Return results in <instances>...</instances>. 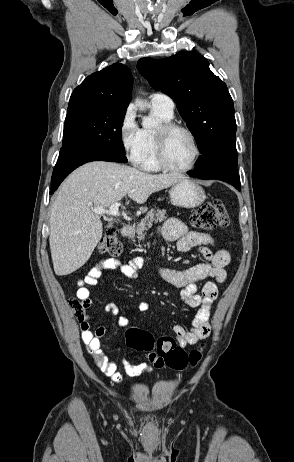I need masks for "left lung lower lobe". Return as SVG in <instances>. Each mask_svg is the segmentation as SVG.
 <instances>
[{
  "mask_svg": "<svg viewBox=\"0 0 294 462\" xmlns=\"http://www.w3.org/2000/svg\"><path fill=\"white\" fill-rule=\"evenodd\" d=\"M189 175L200 179L222 180L240 191L236 146H226L202 155L197 160L194 171Z\"/></svg>",
  "mask_w": 294,
  "mask_h": 462,
  "instance_id": "left-lung-lower-lobe-1",
  "label": "left lung lower lobe"
}]
</instances>
